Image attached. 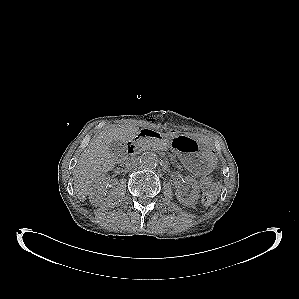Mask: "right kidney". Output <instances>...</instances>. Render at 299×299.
<instances>
[{"label":"right kidney","mask_w":299,"mask_h":299,"mask_svg":"<svg viewBox=\"0 0 299 299\" xmlns=\"http://www.w3.org/2000/svg\"><path fill=\"white\" fill-rule=\"evenodd\" d=\"M117 184L118 181L116 179H111L104 174L98 177L89 188L88 195L91 204L95 207L104 204L106 189L108 187L114 188ZM108 200H112V198L109 196Z\"/></svg>","instance_id":"ca27d5eb"}]
</instances>
